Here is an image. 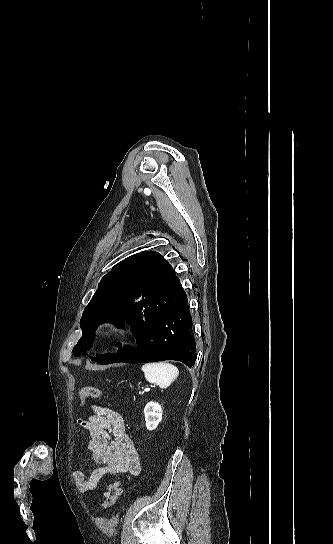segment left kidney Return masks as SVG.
<instances>
[{
    "label": "left kidney",
    "mask_w": 333,
    "mask_h": 544,
    "mask_svg": "<svg viewBox=\"0 0 333 544\" xmlns=\"http://www.w3.org/2000/svg\"><path fill=\"white\" fill-rule=\"evenodd\" d=\"M146 428L150 431L157 428L162 420V408L156 402H149L144 408Z\"/></svg>",
    "instance_id": "1"
}]
</instances>
